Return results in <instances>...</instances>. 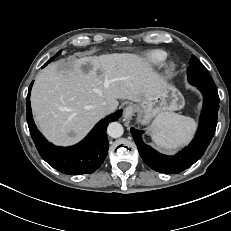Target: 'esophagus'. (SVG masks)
Masks as SVG:
<instances>
[{
  "label": "esophagus",
  "instance_id": "obj_1",
  "mask_svg": "<svg viewBox=\"0 0 231 231\" xmlns=\"http://www.w3.org/2000/svg\"><path fill=\"white\" fill-rule=\"evenodd\" d=\"M136 112V108L134 105H128L125 107L124 112H123V117L126 120H131L132 117L134 116Z\"/></svg>",
  "mask_w": 231,
  "mask_h": 231
}]
</instances>
